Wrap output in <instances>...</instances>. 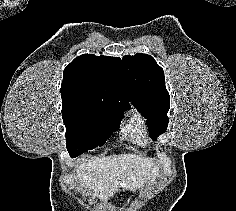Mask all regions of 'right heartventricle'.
<instances>
[{
  "label": "right heart ventricle",
  "instance_id": "e07e8e85",
  "mask_svg": "<svg viewBox=\"0 0 236 211\" xmlns=\"http://www.w3.org/2000/svg\"><path fill=\"white\" fill-rule=\"evenodd\" d=\"M121 135L123 139L137 146H146L145 124L142 117L138 114L133 115L122 127Z\"/></svg>",
  "mask_w": 236,
  "mask_h": 211
}]
</instances>
